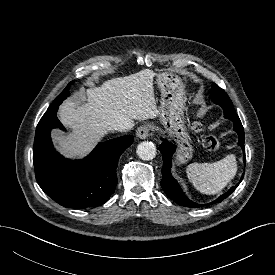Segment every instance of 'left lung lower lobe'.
<instances>
[{
    "label": "left lung lower lobe",
    "mask_w": 275,
    "mask_h": 275,
    "mask_svg": "<svg viewBox=\"0 0 275 275\" xmlns=\"http://www.w3.org/2000/svg\"><path fill=\"white\" fill-rule=\"evenodd\" d=\"M220 106L223 108L224 113H227L226 118L232 120L234 123L233 129L239 136L238 145L243 150V161L245 163V161H246L245 160V146H244L245 137H244V129L241 124V121H240L239 117L236 115V112H235V109L233 106H229L227 103H222ZM162 141H163V143L160 145V148H159L160 152L162 153V157H163V167L161 169V173H162L161 186H162L163 190L165 191L166 195L170 199H172L174 202L179 204L180 206L198 208V207H202L205 205H211L214 203L221 202L225 198H227L236 189V187L240 184V182L243 179L244 175H242L238 184H236L235 186L230 188L226 193H224L219 198H217L216 200H214L213 202H211L209 204H197L195 202H192L184 195L182 189L178 185L177 181L172 177L171 172H170L171 166H172L171 159H172V155H173L174 151L176 150V146L174 144H172L171 142H168L165 139H162Z\"/></svg>",
    "instance_id": "obj_1"
}]
</instances>
